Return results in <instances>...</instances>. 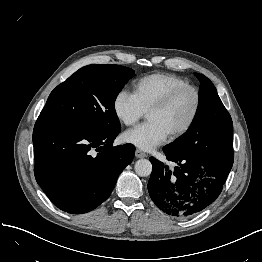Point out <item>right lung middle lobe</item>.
I'll use <instances>...</instances> for the list:
<instances>
[{
    "label": "right lung middle lobe",
    "mask_w": 262,
    "mask_h": 262,
    "mask_svg": "<svg viewBox=\"0 0 262 262\" xmlns=\"http://www.w3.org/2000/svg\"><path fill=\"white\" fill-rule=\"evenodd\" d=\"M134 75L133 69L120 65L85 66L51 92L40 116L67 119L95 131L118 130L115 100Z\"/></svg>",
    "instance_id": "1"
}]
</instances>
